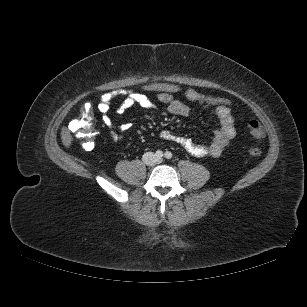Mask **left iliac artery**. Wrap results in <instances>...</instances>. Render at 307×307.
<instances>
[{"label": "left iliac artery", "mask_w": 307, "mask_h": 307, "mask_svg": "<svg viewBox=\"0 0 307 307\" xmlns=\"http://www.w3.org/2000/svg\"><path fill=\"white\" fill-rule=\"evenodd\" d=\"M164 157H165L166 159H171V158L173 157V154H172L171 152L167 151V152L164 154Z\"/></svg>", "instance_id": "left-iliac-artery-1"}]
</instances>
